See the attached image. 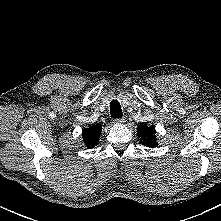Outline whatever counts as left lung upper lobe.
Listing matches in <instances>:
<instances>
[{
	"instance_id": "obj_1",
	"label": "left lung upper lobe",
	"mask_w": 221,
	"mask_h": 221,
	"mask_svg": "<svg viewBox=\"0 0 221 221\" xmlns=\"http://www.w3.org/2000/svg\"><path fill=\"white\" fill-rule=\"evenodd\" d=\"M137 135L140 137L141 142L147 147L153 148L158 145L155 136V127L153 125L150 127L145 124L138 126Z\"/></svg>"
}]
</instances>
